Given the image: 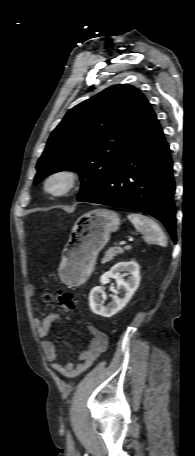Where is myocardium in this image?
I'll return each instance as SVG.
<instances>
[{
	"instance_id": "1",
	"label": "myocardium",
	"mask_w": 195,
	"mask_h": 456,
	"mask_svg": "<svg viewBox=\"0 0 195 456\" xmlns=\"http://www.w3.org/2000/svg\"><path fill=\"white\" fill-rule=\"evenodd\" d=\"M79 176L72 170H57L49 174L44 181V190L54 197H63L71 193L78 184ZM60 182L58 188L52 187V183Z\"/></svg>"
}]
</instances>
